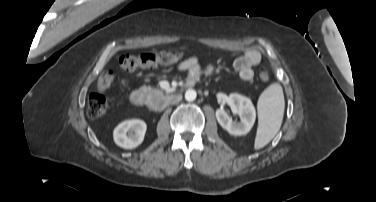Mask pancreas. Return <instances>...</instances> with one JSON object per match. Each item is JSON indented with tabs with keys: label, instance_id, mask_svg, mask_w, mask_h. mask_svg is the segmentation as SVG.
<instances>
[{
	"label": "pancreas",
	"instance_id": "pancreas-1",
	"mask_svg": "<svg viewBox=\"0 0 376 202\" xmlns=\"http://www.w3.org/2000/svg\"><path fill=\"white\" fill-rule=\"evenodd\" d=\"M142 90L146 93L147 98L149 100H154V99H159V98L164 97L163 91L158 88H152L148 86V87H143Z\"/></svg>",
	"mask_w": 376,
	"mask_h": 202
}]
</instances>
